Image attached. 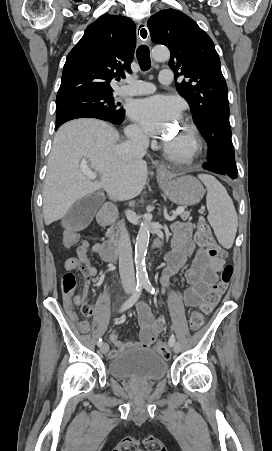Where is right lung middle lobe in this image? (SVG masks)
Segmentation results:
<instances>
[{"mask_svg": "<svg viewBox=\"0 0 272 451\" xmlns=\"http://www.w3.org/2000/svg\"><path fill=\"white\" fill-rule=\"evenodd\" d=\"M119 106L120 103H114L112 94L56 99V122L76 115H91L119 122L124 119L125 113Z\"/></svg>", "mask_w": 272, "mask_h": 451, "instance_id": "right-lung-middle-lobe-1", "label": "right lung middle lobe"}]
</instances>
